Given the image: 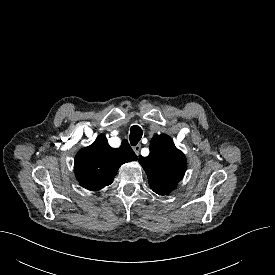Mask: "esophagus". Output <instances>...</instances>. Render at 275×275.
I'll return each instance as SVG.
<instances>
[{
    "label": "esophagus",
    "instance_id": "esophagus-1",
    "mask_svg": "<svg viewBox=\"0 0 275 275\" xmlns=\"http://www.w3.org/2000/svg\"><path fill=\"white\" fill-rule=\"evenodd\" d=\"M140 149H141V145L140 144H138V145H136V146L133 147V150H134V152L136 153L137 156L139 155Z\"/></svg>",
    "mask_w": 275,
    "mask_h": 275
}]
</instances>
